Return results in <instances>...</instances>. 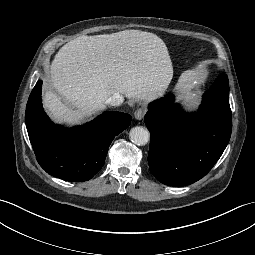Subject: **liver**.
<instances>
[{
	"mask_svg": "<svg viewBox=\"0 0 255 255\" xmlns=\"http://www.w3.org/2000/svg\"><path fill=\"white\" fill-rule=\"evenodd\" d=\"M44 107L60 123L78 124L106 109L119 93L130 101H149L163 91L173 66L163 40L139 30L80 36L66 43L50 68Z\"/></svg>",
	"mask_w": 255,
	"mask_h": 255,
	"instance_id": "liver-1",
	"label": "liver"
}]
</instances>
